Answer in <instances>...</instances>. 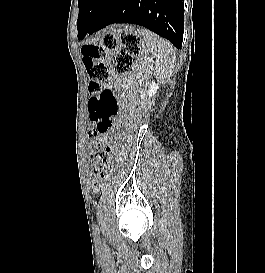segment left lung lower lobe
<instances>
[{
    "instance_id": "1",
    "label": "left lung lower lobe",
    "mask_w": 265,
    "mask_h": 273,
    "mask_svg": "<svg viewBox=\"0 0 265 273\" xmlns=\"http://www.w3.org/2000/svg\"><path fill=\"white\" fill-rule=\"evenodd\" d=\"M105 0L84 16L78 39L114 23L141 25L182 47L183 0Z\"/></svg>"
}]
</instances>
